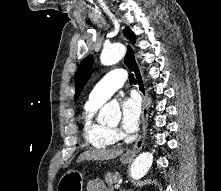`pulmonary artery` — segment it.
<instances>
[{
    "instance_id": "pulmonary-artery-1",
    "label": "pulmonary artery",
    "mask_w": 221,
    "mask_h": 191,
    "mask_svg": "<svg viewBox=\"0 0 221 191\" xmlns=\"http://www.w3.org/2000/svg\"><path fill=\"white\" fill-rule=\"evenodd\" d=\"M127 79V72L122 68L111 70L91 90L89 101L104 103L116 90L121 88Z\"/></svg>"
}]
</instances>
